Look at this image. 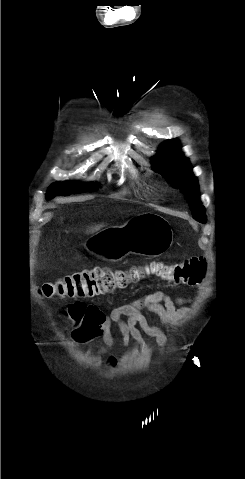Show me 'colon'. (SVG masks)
Returning a JSON list of instances; mask_svg holds the SVG:
<instances>
[{"mask_svg":"<svg viewBox=\"0 0 245 479\" xmlns=\"http://www.w3.org/2000/svg\"><path fill=\"white\" fill-rule=\"evenodd\" d=\"M206 259L195 256L173 263L153 262L147 270H128L99 267L75 272L42 285L40 292L46 298L85 299L126 288L138 282L144 274H153L163 281L174 284L197 285L206 272ZM86 304L76 302L65 311V316L74 324V331L84 325Z\"/></svg>","mask_w":245,"mask_h":479,"instance_id":"5ec220e1","label":"colon"}]
</instances>
